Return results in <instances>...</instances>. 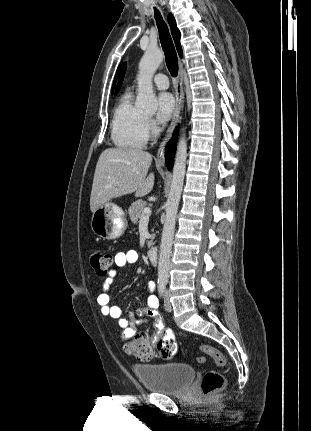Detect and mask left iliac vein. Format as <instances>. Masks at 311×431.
<instances>
[{"label":"left iliac vein","mask_w":311,"mask_h":431,"mask_svg":"<svg viewBox=\"0 0 311 431\" xmlns=\"http://www.w3.org/2000/svg\"><path fill=\"white\" fill-rule=\"evenodd\" d=\"M164 307L165 310L168 312L172 311V305L171 302L169 301V292L166 290L165 294H164Z\"/></svg>","instance_id":"left-iliac-vein-1"}]
</instances>
